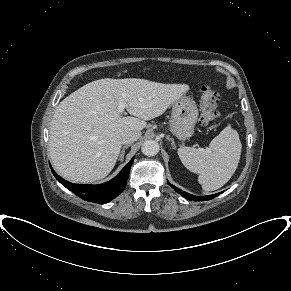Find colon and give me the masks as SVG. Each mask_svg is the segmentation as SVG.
Here are the masks:
<instances>
[{
  "label": "colon",
  "mask_w": 291,
  "mask_h": 291,
  "mask_svg": "<svg viewBox=\"0 0 291 291\" xmlns=\"http://www.w3.org/2000/svg\"><path fill=\"white\" fill-rule=\"evenodd\" d=\"M219 99V93L210 86L204 85L201 87L198 104L200 109V123L202 125L212 124L219 118V112L216 110Z\"/></svg>",
  "instance_id": "5ec220e1"
}]
</instances>
